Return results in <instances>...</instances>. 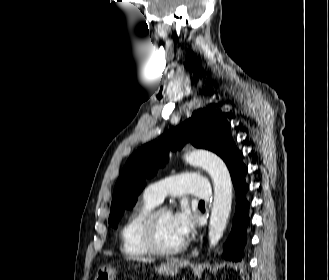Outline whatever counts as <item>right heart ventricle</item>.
I'll use <instances>...</instances> for the list:
<instances>
[{"instance_id": "right-heart-ventricle-1", "label": "right heart ventricle", "mask_w": 329, "mask_h": 280, "mask_svg": "<svg viewBox=\"0 0 329 280\" xmlns=\"http://www.w3.org/2000/svg\"><path fill=\"white\" fill-rule=\"evenodd\" d=\"M157 205V201L144 194L127 216L120 230L121 249L125 255L142 257L150 253L141 239V226Z\"/></svg>"}]
</instances>
